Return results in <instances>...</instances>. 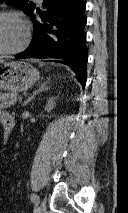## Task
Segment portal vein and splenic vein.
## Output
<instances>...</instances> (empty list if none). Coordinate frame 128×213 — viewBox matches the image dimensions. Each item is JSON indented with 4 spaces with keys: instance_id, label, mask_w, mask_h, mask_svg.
Returning <instances> with one entry per match:
<instances>
[{
    "instance_id": "obj_1",
    "label": "portal vein and splenic vein",
    "mask_w": 128,
    "mask_h": 213,
    "mask_svg": "<svg viewBox=\"0 0 128 213\" xmlns=\"http://www.w3.org/2000/svg\"><path fill=\"white\" fill-rule=\"evenodd\" d=\"M19 100L21 101V100H22V97H20Z\"/></svg>"
}]
</instances>
